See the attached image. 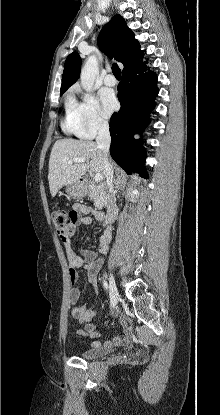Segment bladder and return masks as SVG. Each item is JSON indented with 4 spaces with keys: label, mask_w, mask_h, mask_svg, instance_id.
Returning <instances> with one entry per match:
<instances>
[{
    "label": "bladder",
    "mask_w": 220,
    "mask_h": 415,
    "mask_svg": "<svg viewBox=\"0 0 220 415\" xmlns=\"http://www.w3.org/2000/svg\"><path fill=\"white\" fill-rule=\"evenodd\" d=\"M106 353L107 350L105 348L91 345L81 352V357L85 359H96L104 356Z\"/></svg>",
    "instance_id": "31cf9c89"
}]
</instances>
